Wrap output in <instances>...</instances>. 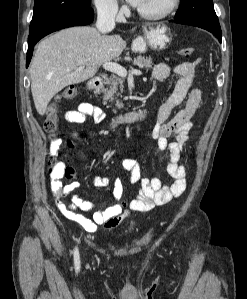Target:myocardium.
<instances>
[{
    "label": "myocardium",
    "mask_w": 247,
    "mask_h": 299,
    "mask_svg": "<svg viewBox=\"0 0 247 299\" xmlns=\"http://www.w3.org/2000/svg\"><path fill=\"white\" fill-rule=\"evenodd\" d=\"M179 0H169L167 5L159 10V11H155V12H148V11H144L141 9H137L138 14L143 17L144 19L147 20H160L163 19L165 17H167L168 15H170L178 6Z\"/></svg>",
    "instance_id": "myocardium-1"
}]
</instances>
